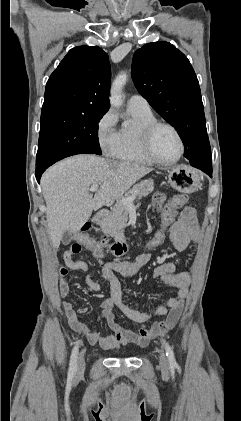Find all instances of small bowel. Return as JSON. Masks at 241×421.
Segmentation results:
<instances>
[{
    "label": "small bowel",
    "instance_id": "obj_1",
    "mask_svg": "<svg viewBox=\"0 0 241 421\" xmlns=\"http://www.w3.org/2000/svg\"><path fill=\"white\" fill-rule=\"evenodd\" d=\"M165 201L163 194H156L153 203L157 210L162 213V206ZM168 237L179 251L187 249L191 244L200 239V228L198 225L196 211L192 207H185L178 218L171 225ZM74 254L68 248L63 255L66 266L72 270L88 271V265L81 260H74ZM151 255L148 252L138 256L136 261L117 260L107 262L102 266V277L110 285V295L101 303L102 311L99 320L105 321L112 333L101 336L97 330L90 329L80 319L81 314H85L86 307L75 310L68 301L62 303L67 321L72 330L84 334L91 344H99L103 349L110 350L118 348L120 345L135 344L144 347L150 339L156 338L169 329L178 321L188 294L190 284V274L188 272H176V265L173 262L159 263L154 269V276L163 283L173 287L176 295L169 298L165 305L159 306L153 313L141 312L125 305L122 301V289L117 274L124 277L134 276L145 264L149 262ZM86 284L92 291H99L100 285L94 282L90 275L86 277ZM70 290V280L65 278L59 284V294L65 298ZM121 311L127 319L128 324L139 325L137 332L125 328L115 320L114 310ZM164 316V321L154 322L150 326L148 323L153 317Z\"/></svg>",
    "mask_w": 241,
    "mask_h": 421
}]
</instances>
